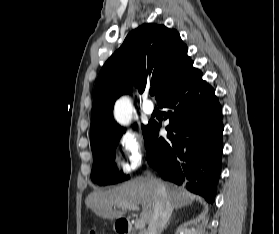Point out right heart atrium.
I'll return each instance as SVG.
<instances>
[{
    "label": "right heart atrium",
    "instance_id": "obj_1",
    "mask_svg": "<svg viewBox=\"0 0 279 234\" xmlns=\"http://www.w3.org/2000/svg\"><path fill=\"white\" fill-rule=\"evenodd\" d=\"M123 151L122 168L125 173L134 172L146 157V148L142 136L134 130H127L119 137Z\"/></svg>",
    "mask_w": 279,
    "mask_h": 234
}]
</instances>
